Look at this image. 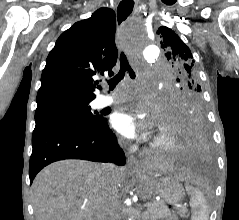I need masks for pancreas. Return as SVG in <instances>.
<instances>
[{
    "instance_id": "obj_1",
    "label": "pancreas",
    "mask_w": 239,
    "mask_h": 220,
    "mask_svg": "<svg viewBox=\"0 0 239 220\" xmlns=\"http://www.w3.org/2000/svg\"><path fill=\"white\" fill-rule=\"evenodd\" d=\"M186 208L183 206L178 207V212L181 217H186ZM171 216V212L163 201H154L143 212V220H157L164 219Z\"/></svg>"
}]
</instances>
